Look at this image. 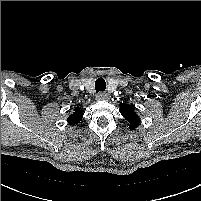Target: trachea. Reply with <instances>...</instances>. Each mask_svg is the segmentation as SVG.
Instances as JSON below:
<instances>
[{"mask_svg":"<svg viewBox=\"0 0 201 201\" xmlns=\"http://www.w3.org/2000/svg\"><path fill=\"white\" fill-rule=\"evenodd\" d=\"M106 89V82L105 80L100 77L95 81V90L96 92H103Z\"/></svg>","mask_w":201,"mask_h":201,"instance_id":"obj_1","label":"trachea"}]
</instances>
